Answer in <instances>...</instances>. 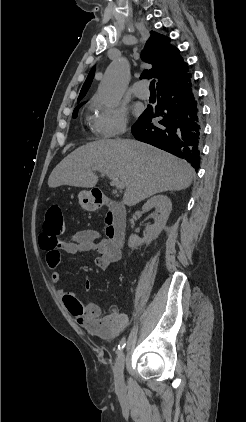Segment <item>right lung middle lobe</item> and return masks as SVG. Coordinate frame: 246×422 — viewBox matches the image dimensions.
<instances>
[{"label": "right lung middle lobe", "mask_w": 246, "mask_h": 422, "mask_svg": "<svg viewBox=\"0 0 246 422\" xmlns=\"http://www.w3.org/2000/svg\"><path fill=\"white\" fill-rule=\"evenodd\" d=\"M82 105H83V104H82ZM82 105H79V106H77V107L74 109V111H73V115H72L74 118H76V117H77L78 110H79V108H80Z\"/></svg>", "instance_id": "obj_1"}]
</instances>
